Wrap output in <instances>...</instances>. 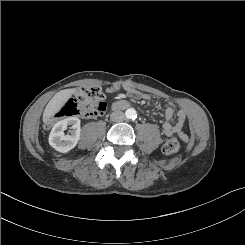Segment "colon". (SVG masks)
Wrapping results in <instances>:
<instances>
[{
	"mask_svg": "<svg viewBox=\"0 0 245 245\" xmlns=\"http://www.w3.org/2000/svg\"><path fill=\"white\" fill-rule=\"evenodd\" d=\"M107 108L105 96L98 86L81 87L54 117L47 123L46 127L50 128L53 124L63 118L81 116L84 118H93L105 113ZM180 149V143L177 137H168L163 145L162 150L165 154H173Z\"/></svg>",
	"mask_w": 245,
	"mask_h": 245,
	"instance_id": "5ec220e1",
	"label": "colon"
}]
</instances>
